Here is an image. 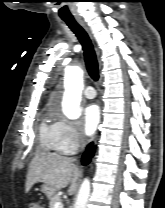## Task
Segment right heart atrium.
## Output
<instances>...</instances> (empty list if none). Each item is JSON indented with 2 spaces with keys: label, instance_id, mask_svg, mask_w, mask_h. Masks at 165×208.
<instances>
[{
  "label": "right heart atrium",
  "instance_id": "obj_1",
  "mask_svg": "<svg viewBox=\"0 0 165 208\" xmlns=\"http://www.w3.org/2000/svg\"><path fill=\"white\" fill-rule=\"evenodd\" d=\"M53 140L58 152L70 155L81 146L83 137L74 122L65 117H59L53 123Z\"/></svg>",
  "mask_w": 165,
  "mask_h": 208
}]
</instances>
